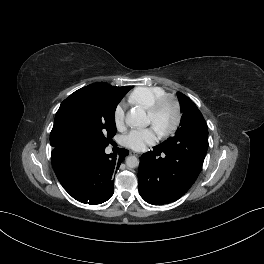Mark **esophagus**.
<instances>
[{
	"mask_svg": "<svg viewBox=\"0 0 264 264\" xmlns=\"http://www.w3.org/2000/svg\"><path fill=\"white\" fill-rule=\"evenodd\" d=\"M130 154H131V155H136V156H138V154L135 153V152H130Z\"/></svg>",
	"mask_w": 264,
	"mask_h": 264,
	"instance_id": "34e87169",
	"label": "esophagus"
}]
</instances>
